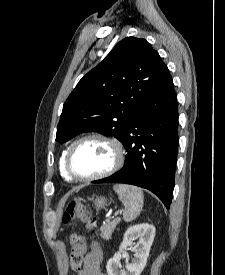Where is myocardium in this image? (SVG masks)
<instances>
[{
    "label": "myocardium",
    "instance_id": "myocardium-1",
    "mask_svg": "<svg viewBox=\"0 0 225 275\" xmlns=\"http://www.w3.org/2000/svg\"><path fill=\"white\" fill-rule=\"evenodd\" d=\"M88 140H100L107 143L113 150V163L111 167L105 170L104 172L94 174V175L82 176V175L76 174L72 169L71 159L76 147ZM123 162H124V149L122 144L117 139L104 134L93 133V134H87L78 138L70 145L65 157V169L68 175L73 179L80 180V181H95V180L106 178L114 174L115 172H117L121 168Z\"/></svg>",
    "mask_w": 225,
    "mask_h": 275
}]
</instances>
